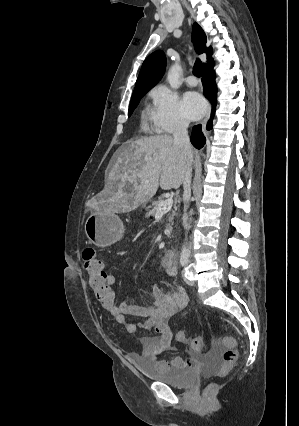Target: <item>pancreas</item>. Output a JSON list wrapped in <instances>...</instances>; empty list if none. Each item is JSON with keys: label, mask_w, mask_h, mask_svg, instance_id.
I'll use <instances>...</instances> for the list:
<instances>
[{"label": "pancreas", "mask_w": 299, "mask_h": 426, "mask_svg": "<svg viewBox=\"0 0 299 426\" xmlns=\"http://www.w3.org/2000/svg\"><path fill=\"white\" fill-rule=\"evenodd\" d=\"M164 201L165 200L163 198H160L158 201H154L152 203V206H150L148 208V210H147V216H154L156 214V212H157L159 204L162 203V202H164ZM169 215H170L169 218H168L169 222H172L173 221V217L175 215V211L172 210V212ZM168 228L171 229V225L170 224H168ZM168 236H170V234H168Z\"/></svg>", "instance_id": "1"}]
</instances>
